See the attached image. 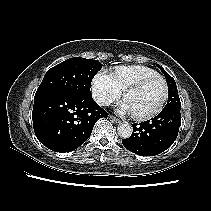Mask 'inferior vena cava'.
Here are the masks:
<instances>
[{"mask_svg":"<svg viewBox=\"0 0 211 211\" xmlns=\"http://www.w3.org/2000/svg\"><path fill=\"white\" fill-rule=\"evenodd\" d=\"M111 103H112V99H110V98H104V99L101 100V104H102V105L108 106V105H110Z\"/></svg>","mask_w":211,"mask_h":211,"instance_id":"1","label":"inferior vena cava"}]
</instances>
